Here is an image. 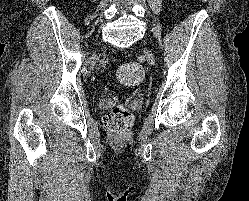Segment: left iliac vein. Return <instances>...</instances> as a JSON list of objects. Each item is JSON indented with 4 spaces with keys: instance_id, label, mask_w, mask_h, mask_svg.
I'll return each instance as SVG.
<instances>
[{
    "instance_id": "1",
    "label": "left iliac vein",
    "mask_w": 249,
    "mask_h": 201,
    "mask_svg": "<svg viewBox=\"0 0 249 201\" xmlns=\"http://www.w3.org/2000/svg\"><path fill=\"white\" fill-rule=\"evenodd\" d=\"M146 58L148 61H152L153 60V55L150 52H146Z\"/></svg>"
}]
</instances>
